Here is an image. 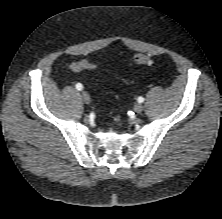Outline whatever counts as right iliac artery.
<instances>
[{"mask_svg":"<svg viewBox=\"0 0 222 219\" xmlns=\"http://www.w3.org/2000/svg\"><path fill=\"white\" fill-rule=\"evenodd\" d=\"M76 89L79 90V91L82 90L83 89L82 84L81 83H77L76 84Z\"/></svg>","mask_w":222,"mask_h":219,"instance_id":"1","label":"right iliac artery"}]
</instances>
